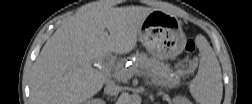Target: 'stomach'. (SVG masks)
Here are the masks:
<instances>
[{
	"label": "stomach",
	"mask_w": 252,
	"mask_h": 104,
	"mask_svg": "<svg viewBox=\"0 0 252 104\" xmlns=\"http://www.w3.org/2000/svg\"><path fill=\"white\" fill-rule=\"evenodd\" d=\"M138 36L146 50L161 60L177 57L186 42L181 21L162 10H154L145 18Z\"/></svg>",
	"instance_id": "obj_1"
}]
</instances>
